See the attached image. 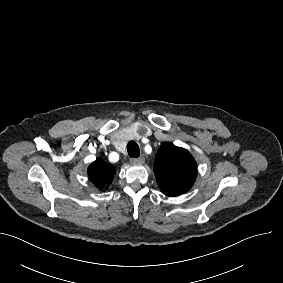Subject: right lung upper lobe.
<instances>
[{
    "label": "right lung upper lobe",
    "mask_w": 283,
    "mask_h": 283,
    "mask_svg": "<svg viewBox=\"0 0 283 283\" xmlns=\"http://www.w3.org/2000/svg\"><path fill=\"white\" fill-rule=\"evenodd\" d=\"M115 172V167L101 158L96 159L87 170L91 182L101 190L112 182Z\"/></svg>",
    "instance_id": "right-lung-upper-lobe-1"
}]
</instances>
